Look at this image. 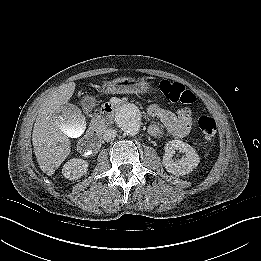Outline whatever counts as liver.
<instances>
[{
    "label": "liver",
    "mask_w": 261,
    "mask_h": 261,
    "mask_svg": "<svg viewBox=\"0 0 261 261\" xmlns=\"http://www.w3.org/2000/svg\"><path fill=\"white\" fill-rule=\"evenodd\" d=\"M75 87V82H69L49 93L40 105L33 127L34 153L40 169L49 176L54 174L70 154V134L66 131L64 118L59 113L62 107L68 104ZM74 113L72 131L79 136L83 132L84 117L78 107L74 108Z\"/></svg>",
    "instance_id": "obj_1"
}]
</instances>
